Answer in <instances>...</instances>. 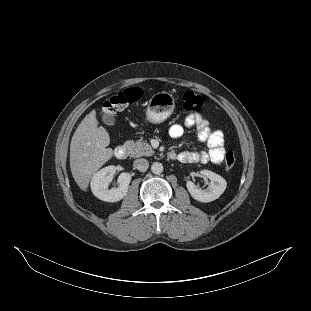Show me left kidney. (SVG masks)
I'll use <instances>...</instances> for the list:
<instances>
[{
	"mask_svg": "<svg viewBox=\"0 0 311 311\" xmlns=\"http://www.w3.org/2000/svg\"><path fill=\"white\" fill-rule=\"evenodd\" d=\"M200 173L210 179V185L202 190L193 182L188 181L186 186L191 196L200 202H211L219 198L226 189V180L210 170H201Z\"/></svg>",
	"mask_w": 311,
	"mask_h": 311,
	"instance_id": "obj_1",
	"label": "left kidney"
}]
</instances>
